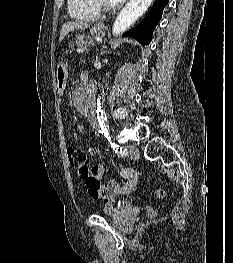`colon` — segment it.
I'll return each mask as SVG.
<instances>
[{
	"label": "colon",
	"mask_w": 233,
	"mask_h": 263,
	"mask_svg": "<svg viewBox=\"0 0 233 263\" xmlns=\"http://www.w3.org/2000/svg\"><path fill=\"white\" fill-rule=\"evenodd\" d=\"M67 155L69 163L72 167L77 168L79 171V175L82 177H86L89 173L87 166H85L86 162V153L83 149L79 147H68ZM166 194V190L164 188H158L153 192L154 197L163 198Z\"/></svg>",
	"instance_id": "1"
}]
</instances>
